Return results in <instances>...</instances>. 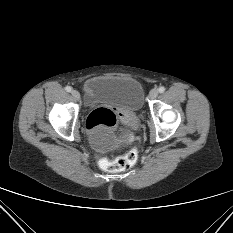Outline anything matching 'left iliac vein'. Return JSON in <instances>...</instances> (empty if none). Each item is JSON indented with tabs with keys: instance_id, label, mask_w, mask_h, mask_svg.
I'll list each match as a JSON object with an SVG mask.
<instances>
[{
	"instance_id": "obj_1",
	"label": "left iliac vein",
	"mask_w": 233,
	"mask_h": 233,
	"mask_svg": "<svg viewBox=\"0 0 233 233\" xmlns=\"http://www.w3.org/2000/svg\"><path fill=\"white\" fill-rule=\"evenodd\" d=\"M158 93H159L158 89H152L149 93V99L150 100L155 99L158 96Z\"/></svg>"
}]
</instances>
